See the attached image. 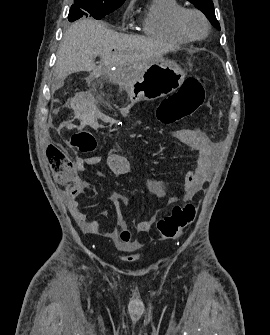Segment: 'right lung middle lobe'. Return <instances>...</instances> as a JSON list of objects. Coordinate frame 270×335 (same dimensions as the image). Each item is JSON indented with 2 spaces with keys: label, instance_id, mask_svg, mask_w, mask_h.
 I'll return each mask as SVG.
<instances>
[{
  "label": "right lung middle lobe",
  "instance_id": "obj_1",
  "mask_svg": "<svg viewBox=\"0 0 270 335\" xmlns=\"http://www.w3.org/2000/svg\"><path fill=\"white\" fill-rule=\"evenodd\" d=\"M123 3L105 2L103 0H74L68 20L73 22L81 17L102 19L119 8Z\"/></svg>",
  "mask_w": 270,
  "mask_h": 335
}]
</instances>
